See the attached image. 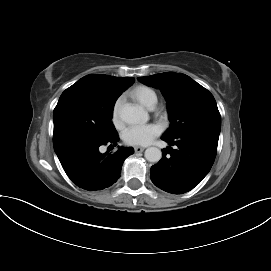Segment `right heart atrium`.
I'll use <instances>...</instances> for the list:
<instances>
[{
	"label": "right heart atrium",
	"mask_w": 271,
	"mask_h": 271,
	"mask_svg": "<svg viewBox=\"0 0 271 271\" xmlns=\"http://www.w3.org/2000/svg\"><path fill=\"white\" fill-rule=\"evenodd\" d=\"M122 99L119 98L113 107L112 110V121L114 122L115 125L120 124V107H121Z\"/></svg>",
	"instance_id": "right-heart-atrium-1"
}]
</instances>
